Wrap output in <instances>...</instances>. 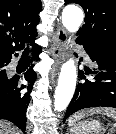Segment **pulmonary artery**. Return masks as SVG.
I'll list each match as a JSON object with an SVG mask.
<instances>
[{
	"mask_svg": "<svg viewBox=\"0 0 116 134\" xmlns=\"http://www.w3.org/2000/svg\"><path fill=\"white\" fill-rule=\"evenodd\" d=\"M79 51H80L81 55L84 57V59L87 62H90V56H89V54L84 49H82V48ZM16 63H17V61L15 59H13L10 62V68H14L16 66Z\"/></svg>",
	"mask_w": 116,
	"mask_h": 134,
	"instance_id": "1",
	"label": "pulmonary artery"
}]
</instances>
